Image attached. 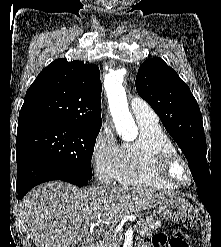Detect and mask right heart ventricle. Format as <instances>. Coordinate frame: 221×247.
Masks as SVG:
<instances>
[{"instance_id": "1", "label": "right heart ventricle", "mask_w": 221, "mask_h": 247, "mask_svg": "<svg viewBox=\"0 0 221 247\" xmlns=\"http://www.w3.org/2000/svg\"><path fill=\"white\" fill-rule=\"evenodd\" d=\"M140 133L133 142L120 146L117 182L125 186H146L173 190L177 185L161 178L154 169V158L161 150L177 151L158 123H139Z\"/></svg>"}]
</instances>
